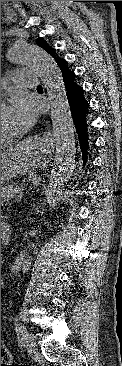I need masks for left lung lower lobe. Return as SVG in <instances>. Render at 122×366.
<instances>
[{"instance_id": "1", "label": "left lung lower lobe", "mask_w": 122, "mask_h": 366, "mask_svg": "<svg viewBox=\"0 0 122 366\" xmlns=\"http://www.w3.org/2000/svg\"><path fill=\"white\" fill-rule=\"evenodd\" d=\"M56 63L63 77L68 102L79 136L80 148L85 165L89 152L92 148V140L90 138L91 133L89 125H87L85 119L89 112V104L85 99L83 88L76 82V75L74 71L69 69L67 61L63 58H59L56 60Z\"/></svg>"}]
</instances>
